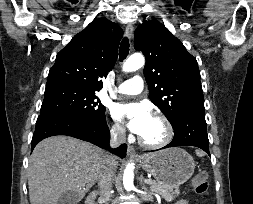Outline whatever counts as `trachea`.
<instances>
[{
    "label": "trachea",
    "instance_id": "3493384b",
    "mask_svg": "<svg viewBox=\"0 0 253 204\" xmlns=\"http://www.w3.org/2000/svg\"><path fill=\"white\" fill-rule=\"evenodd\" d=\"M129 54V40L128 38H124L120 44L119 48V58L120 61H123L127 55Z\"/></svg>",
    "mask_w": 253,
    "mask_h": 204
}]
</instances>
